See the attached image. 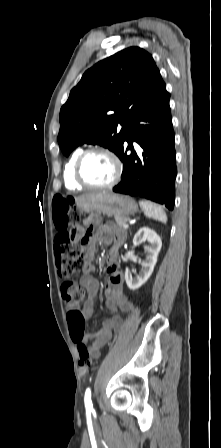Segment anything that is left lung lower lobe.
<instances>
[{"label": "left lung lower lobe", "mask_w": 221, "mask_h": 448, "mask_svg": "<svg viewBox=\"0 0 221 448\" xmlns=\"http://www.w3.org/2000/svg\"><path fill=\"white\" fill-rule=\"evenodd\" d=\"M169 98L164 88L143 106L130 124L118 155L123 162L121 182L113 191L145 197L172 210L177 168ZM133 141L145 152L143 164L134 152ZM124 143H128L125 149ZM127 150H131L130 155L126 154Z\"/></svg>", "instance_id": "left-lung-lower-lobe-1"}]
</instances>
